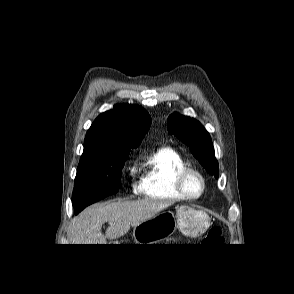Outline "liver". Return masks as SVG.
<instances>
[{
	"label": "liver",
	"mask_w": 294,
	"mask_h": 294,
	"mask_svg": "<svg viewBox=\"0 0 294 294\" xmlns=\"http://www.w3.org/2000/svg\"><path fill=\"white\" fill-rule=\"evenodd\" d=\"M172 203L145 198L138 201H117L95 205L83 210L68 228L71 244H107L106 239H117L125 235L130 227L147 221L168 208ZM109 226L105 235L101 228Z\"/></svg>",
	"instance_id": "1"
}]
</instances>
